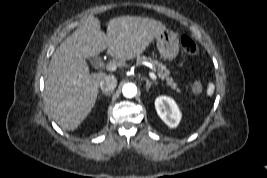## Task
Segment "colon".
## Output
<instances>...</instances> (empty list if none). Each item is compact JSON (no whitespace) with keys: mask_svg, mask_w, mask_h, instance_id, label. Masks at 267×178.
<instances>
[{"mask_svg":"<svg viewBox=\"0 0 267 178\" xmlns=\"http://www.w3.org/2000/svg\"><path fill=\"white\" fill-rule=\"evenodd\" d=\"M181 45L183 50L189 54V55H195L198 52V47L196 43L188 36H182L181 37ZM201 85L200 83L196 82L194 83L195 89H200Z\"/></svg>","mask_w":267,"mask_h":178,"instance_id":"1","label":"colon"}]
</instances>
